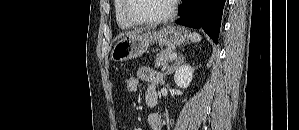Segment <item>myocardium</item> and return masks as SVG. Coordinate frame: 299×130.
Masks as SVG:
<instances>
[{
  "instance_id": "1",
  "label": "myocardium",
  "mask_w": 299,
  "mask_h": 130,
  "mask_svg": "<svg viewBox=\"0 0 299 130\" xmlns=\"http://www.w3.org/2000/svg\"><path fill=\"white\" fill-rule=\"evenodd\" d=\"M131 1L132 0H124L123 15L129 23L138 26H149L165 23L173 17L176 9V1H172L166 14L151 19H138L130 13Z\"/></svg>"
}]
</instances>
